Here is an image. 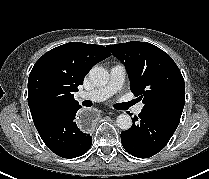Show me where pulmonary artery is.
Masks as SVG:
<instances>
[{"label": "pulmonary artery", "mask_w": 209, "mask_h": 179, "mask_svg": "<svg viewBox=\"0 0 209 179\" xmlns=\"http://www.w3.org/2000/svg\"><path fill=\"white\" fill-rule=\"evenodd\" d=\"M125 76V67L121 64L114 65L110 69V79L105 86L96 88L88 92H82L79 94V98L82 100H90L93 102L104 101L122 88L125 81ZM142 108V105H137L134 108V112L136 114H140L142 112Z\"/></svg>", "instance_id": "pulmonary-artery-1"}]
</instances>
